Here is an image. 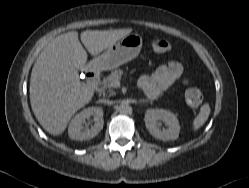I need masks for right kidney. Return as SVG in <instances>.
Masks as SVG:
<instances>
[{"mask_svg": "<svg viewBox=\"0 0 249 188\" xmlns=\"http://www.w3.org/2000/svg\"><path fill=\"white\" fill-rule=\"evenodd\" d=\"M94 117V125L91 128H85L86 119ZM103 109L100 107H89L76 114L68 127V134L72 140H89L94 138L103 128Z\"/></svg>", "mask_w": 249, "mask_h": 188, "instance_id": "ca27d5eb", "label": "right kidney"}]
</instances>
